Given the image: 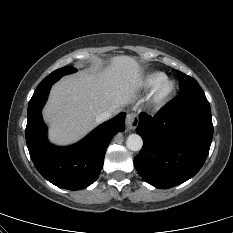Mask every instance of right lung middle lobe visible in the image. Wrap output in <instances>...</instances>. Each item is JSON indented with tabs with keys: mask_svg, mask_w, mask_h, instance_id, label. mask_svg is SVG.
Returning a JSON list of instances; mask_svg holds the SVG:
<instances>
[{
	"mask_svg": "<svg viewBox=\"0 0 233 233\" xmlns=\"http://www.w3.org/2000/svg\"><path fill=\"white\" fill-rule=\"evenodd\" d=\"M76 71H77L76 68H73L70 66L62 67V68L52 72L51 74H49L47 77H45L42 80V82L38 85V87L36 88L35 91L40 90L42 88H45L47 86H50L53 83H55L57 80H59L62 76L76 72Z\"/></svg>",
	"mask_w": 233,
	"mask_h": 233,
	"instance_id": "1",
	"label": "right lung middle lobe"
}]
</instances>
